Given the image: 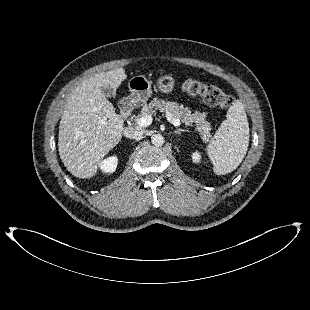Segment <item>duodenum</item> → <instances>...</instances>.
<instances>
[{
	"mask_svg": "<svg viewBox=\"0 0 310 310\" xmlns=\"http://www.w3.org/2000/svg\"><path fill=\"white\" fill-rule=\"evenodd\" d=\"M132 106L129 100H124L120 104V113L123 118L128 117L131 114Z\"/></svg>",
	"mask_w": 310,
	"mask_h": 310,
	"instance_id": "duodenum-1",
	"label": "duodenum"
}]
</instances>
